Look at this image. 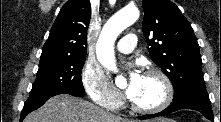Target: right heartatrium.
<instances>
[{"label": "right heart atrium", "mask_w": 221, "mask_h": 122, "mask_svg": "<svg viewBox=\"0 0 221 122\" xmlns=\"http://www.w3.org/2000/svg\"><path fill=\"white\" fill-rule=\"evenodd\" d=\"M81 81L87 95L94 103L109 110H117L122 105V95L111 86L104 71L98 65L87 62L82 69Z\"/></svg>", "instance_id": "obj_1"}]
</instances>
